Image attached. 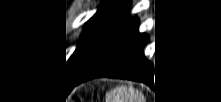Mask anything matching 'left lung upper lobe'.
<instances>
[{
  "mask_svg": "<svg viewBox=\"0 0 221 102\" xmlns=\"http://www.w3.org/2000/svg\"><path fill=\"white\" fill-rule=\"evenodd\" d=\"M129 0H104L96 14L86 23L83 39L68 63V77L77 76L129 19Z\"/></svg>",
  "mask_w": 221,
  "mask_h": 102,
  "instance_id": "obj_1",
  "label": "left lung upper lobe"
}]
</instances>
